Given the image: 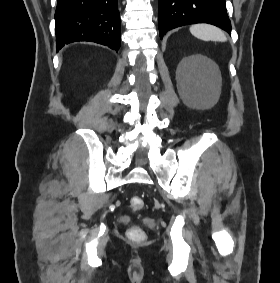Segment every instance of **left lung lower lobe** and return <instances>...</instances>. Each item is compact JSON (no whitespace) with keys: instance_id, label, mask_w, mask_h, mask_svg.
I'll use <instances>...</instances> for the list:
<instances>
[{"instance_id":"obj_1","label":"left lung lower lobe","mask_w":280,"mask_h":283,"mask_svg":"<svg viewBox=\"0 0 280 283\" xmlns=\"http://www.w3.org/2000/svg\"><path fill=\"white\" fill-rule=\"evenodd\" d=\"M195 23H209L231 34L225 0H159L161 39L173 28Z\"/></svg>"}]
</instances>
